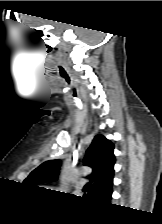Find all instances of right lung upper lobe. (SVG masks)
Listing matches in <instances>:
<instances>
[{"label":"right lung upper lobe","mask_w":162,"mask_h":224,"mask_svg":"<svg viewBox=\"0 0 162 224\" xmlns=\"http://www.w3.org/2000/svg\"><path fill=\"white\" fill-rule=\"evenodd\" d=\"M114 145L103 135H97L84 157L83 163L93 169L88 176L90 179L89 196L103 200L112 193L115 156ZM61 161L48 160L33 170L24 182L37 185L57 179Z\"/></svg>","instance_id":"1"}]
</instances>
